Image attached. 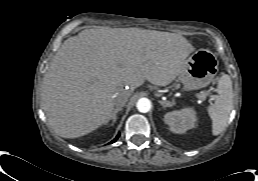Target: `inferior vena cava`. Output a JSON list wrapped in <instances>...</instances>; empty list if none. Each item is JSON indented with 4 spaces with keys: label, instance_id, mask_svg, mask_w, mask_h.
Instances as JSON below:
<instances>
[{
    "label": "inferior vena cava",
    "instance_id": "1",
    "mask_svg": "<svg viewBox=\"0 0 258 181\" xmlns=\"http://www.w3.org/2000/svg\"><path fill=\"white\" fill-rule=\"evenodd\" d=\"M130 96V93L128 92H125L122 96H119L116 101H115V104L119 107H122L126 104L127 102V99L129 98Z\"/></svg>",
    "mask_w": 258,
    "mask_h": 181
}]
</instances>
